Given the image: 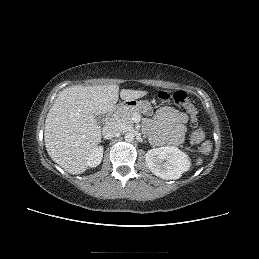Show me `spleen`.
<instances>
[{
    "mask_svg": "<svg viewBox=\"0 0 259 259\" xmlns=\"http://www.w3.org/2000/svg\"><path fill=\"white\" fill-rule=\"evenodd\" d=\"M196 164H197V165H201V164H202V159H201V158H198Z\"/></svg>",
    "mask_w": 259,
    "mask_h": 259,
    "instance_id": "spleen-1",
    "label": "spleen"
}]
</instances>
